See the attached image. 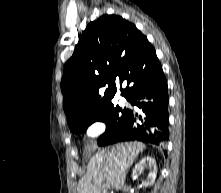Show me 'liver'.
<instances>
[{
    "label": "liver",
    "instance_id": "liver-1",
    "mask_svg": "<svg viewBox=\"0 0 221 193\" xmlns=\"http://www.w3.org/2000/svg\"><path fill=\"white\" fill-rule=\"evenodd\" d=\"M145 148L141 142H130L99 150L91 157L86 174L78 183L77 193H101L107 187L121 190L128 168Z\"/></svg>",
    "mask_w": 221,
    "mask_h": 193
}]
</instances>
